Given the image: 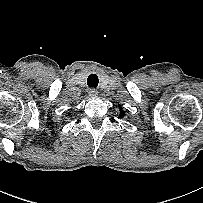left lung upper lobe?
<instances>
[{
	"mask_svg": "<svg viewBox=\"0 0 203 203\" xmlns=\"http://www.w3.org/2000/svg\"><path fill=\"white\" fill-rule=\"evenodd\" d=\"M120 116L123 117V116H124V112H121V113H120Z\"/></svg>",
	"mask_w": 203,
	"mask_h": 203,
	"instance_id": "5c2ea615",
	"label": "left lung upper lobe"
}]
</instances>
